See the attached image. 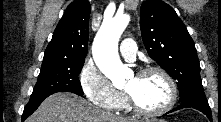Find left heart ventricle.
<instances>
[{
    "label": "left heart ventricle",
    "instance_id": "b2bd125f",
    "mask_svg": "<svg viewBox=\"0 0 221 122\" xmlns=\"http://www.w3.org/2000/svg\"><path fill=\"white\" fill-rule=\"evenodd\" d=\"M143 108L155 110L163 107L169 99V88L162 76L156 73L131 77L125 88Z\"/></svg>",
    "mask_w": 221,
    "mask_h": 122
}]
</instances>
